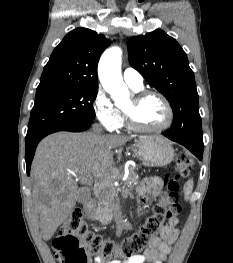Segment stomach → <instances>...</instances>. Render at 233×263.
I'll list each match as a JSON object with an SVG mask.
<instances>
[{
  "label": "stomach",
  "instance_id": "obj_1",
  "mask_svg": "<svg viewBox=\"0 0 233 263\" xmlns=\"http://www.w3.org/2000/svg\"><path fill=\"white\" fill-rule=\"evenodd\" d=\"M133 146L135 156L150 166H165L174 158V149L171 144L160 136H140Z\"/></svg>",
  "mask_w": 233,
  "mask_h": 263
}]
</instances>
